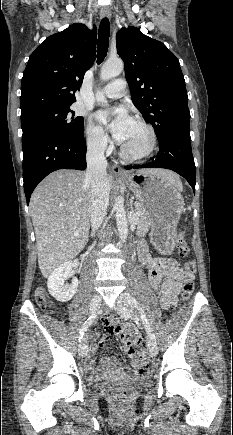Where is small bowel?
<instances>
[{
	"instance_id": "c3829d8e",
	"label": "small bowel",
	"mask_w": 233,
	"mask_h": 435,
	"mask_svg": "<svg viewBox=\"0 0 233 435\" xmlns=\"http://www.w3.org/2000/svg\"><path fill=\"white\" fill-rule=\"evenodd\" d=\"M138 252L141 263L148 271V283L158 293L161 309H170L177 302V295L182 281L193 276L186 272L175 260L152 258L142 243L138 245ZM104 329L105 333L97 335V342L92 345L91 352H97L101 346L110 342L111 337H114L124 344V350L131 358L133 367L123 366L114 356L103 357L101 366L97 367L96 361L90 357L86 361L88 378L97 380L105 374L128 377L145 375V361L141 365L138 364L141 362V358L132 347V344L140 346L142 343V336L138 328L130 323H121L114 316H109L104 321ZM129 338L132 339V343Z\"/></svg>"
}]
</instances>
